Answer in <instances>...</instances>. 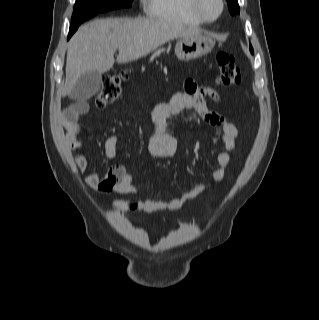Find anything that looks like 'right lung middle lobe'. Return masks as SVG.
Wrapping results in <instances>:
<instances>
[{
  "instance_id": "dd1d6c3e",
  "label": "right lung middle lobe",
  "mask_w": 319,
  "mask_h": 320,
  "mask_svg": "<svg viewBox=\"0 0 319 320\" xmlns=\"http://www.w3.org/2000/svg\"><path fill=\"white\" fill-rule=\"evenodd\" d=\"M132 1L133 0H76L70 31H76L82 22L98 13L117 8L130 7Z\"/></svg>"
}]
</instances>
